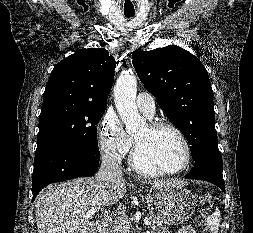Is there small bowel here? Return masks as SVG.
I'll list each match as a JSON object with an SVG mask.
<instances>
[{
    "label": "small bowel",
    "instance_id": "obj_1",
    "mask_svg": "<svg viewBox=\"0 0 253 233\" xmlns=\"http://www.w3.org/2000/svg\"><path fill=\"white\" fill-rule=\"evenodd\" d=\"M178 233H196L194 228L190 227V226H185L182 229L179 230Z\"/></svg>",
    "mask_w": 253,
    "mask_h": 233
}]
</instances>
